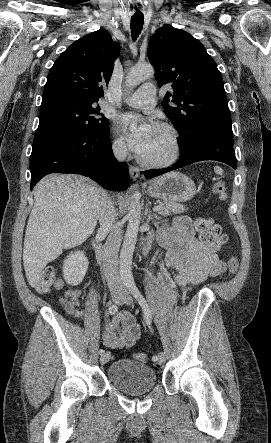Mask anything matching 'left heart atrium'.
Segmentation results:
<instances>
[{"label":"left heart atrium","instance_id":"1","mask_svg":"<svg viewBox=\"0 0 271 443\" xmlns=\"http://www.w3.org/2000/svg\"><path fill=\"white\" fill-rule=\"evenodd\" d=\"M119 123L123 131L127 134L130 149L138 155L143 156L150 145L154 125L150 120L137 113H126L120 116ZM135 126L133 132L129 128Z\"/></svg>","mask_w":271,"mask_h":443}]
</instances>
